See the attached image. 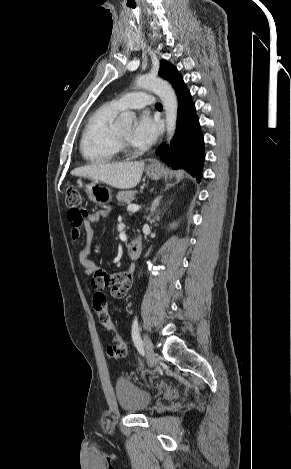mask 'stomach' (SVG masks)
<instances>
[{
    "label": "stomach",
    "instance_id": "1",
    "mask_svg": "<svg viewBox=\"0 0 291 469\" xmlns=\"http://www.w3.org/2000/svg\"><path fill=\"white\" fill-rule=\"evenodd\" d=\"M147 176L153 180H157L161 175L160 168H147ZM86 193L91 202L105 205L112 200V192L110 188L102 185L99 181L93 180L90 184L86 185Z\"/></svg>",
    "mask_w": 291,
    "mask_h": 469
}]
</instances>
